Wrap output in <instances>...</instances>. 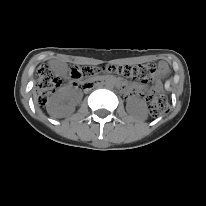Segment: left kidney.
Listing matches in <instances>:
<instances>
[{"instance_id": "obj_1", "label": "left kidney", "mask_w": 206, "mask_h": 206, "mask_svg": "<svg viewBox=\"0 0 206 206\" xmlns=\"http://www.w3.org/2000/svg\"><path fill=\"white\" fill-rule=\"evenodd\" d=\"M126 109L130 114L139 115L143 119L147 117V104L143 100L131 98Z\"/></svg>"}]
</instances>
